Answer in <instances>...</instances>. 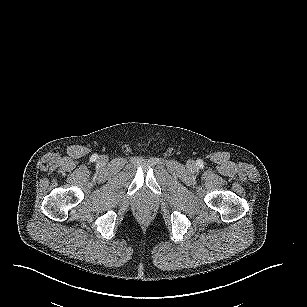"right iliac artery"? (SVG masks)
<instances>
[{
	"instance_id": "right-iliac-artery-1",
	"label": "right iliac artery",
	"mask_w": 307,
	"mask_h": 307,
	"mask_svg": "<svg viewBox=\"0 0 307 307\" xmlns=\"http://www.w3.org/2000/svg\"><path fill=\"white\" fill-rule=\"evenodd\" d=\"M97 159V156L96 155H93L92 157H91V160H93V161H95Z\"/></svg>"
}]
</instances>
